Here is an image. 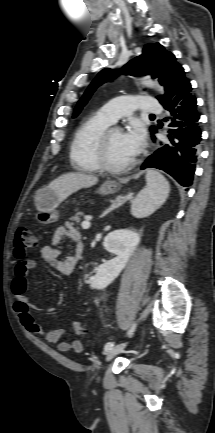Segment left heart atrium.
Wrapping results in <instances>:
<instances>
[{
	"instance_id": "left-heart-atrium-1",
	"label": "left heart atrium",
	"mask_w": 215,
	"mask_h": 433,
	"mask_svg": "<svg viewBox=\"0 0 215 433\" xmlns=\"http://www.w3.org/2000/svg\"><path fill=\"white\" fill-rule=\"evenodd\" d=\"M123 140L129 153L135 156L140 152L144 145V130L140 125L134 124L128 131L123 133Z\"/></svg>"
}]
</instances>
